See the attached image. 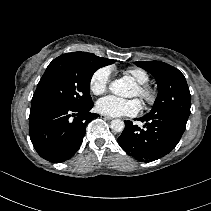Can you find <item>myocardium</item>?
<instances>
[{
  "label": "myocardium",
  "mask_w": 211,
  "mask_h": 211,
  "mask_svg": "<svg viewBox=\"0 0 211 211\" xmlns=\"http://www.w3.org/2000/svg\"><path fill=\"white\" fill-rule=\"evenodd\" d=\"M139 97L146 106H153L158 100V90L148 84H138Z\"/></svg>",
  "instance_id": "1"
}]
</instances>
